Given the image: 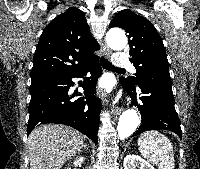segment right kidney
<instances>
[{
	"label": "right kidney",
	"mask_w": 200,
	"mask_h": 169,
	"mask_svg": "<svg viewBox=\"0 0 200 169\" xmlns=\"http://www.w3.org/2000/svg\"><path fill=\"white\" fill-rule=\"evenodd\" d=\"M83 161H84V157H79L76 160L77 163H82Z\"/></svg>",
	"instance_id": "1"
}]
</instances>
